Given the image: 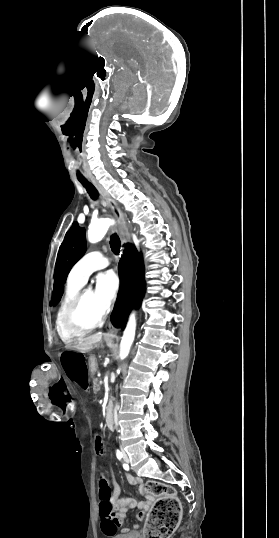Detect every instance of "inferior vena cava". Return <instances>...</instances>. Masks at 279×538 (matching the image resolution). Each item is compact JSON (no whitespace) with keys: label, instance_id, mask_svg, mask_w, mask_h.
I'll return each instance as SVG.
<instances>
[{"label":"inferior vena cava","instance_id":"inferior-vena-cava-1","mask_svg":"<svg viewBox=\"0 0 279 538\" xmlns=\"http://www.w3.org/2000/svg\"><path fill=\"white\" fill-rule=\"evenodd\" d=\"M116 407H118V406H116ZM114 415H115V416H114V417H115V418H114V422L116 423V425H118V423H117V422H118V418H117V411H116V408H115V414H114ZM119 422H120V421H119ZM112 431H113V430H112ZM120 431H121V430H118V432H120ZM119 437H120V436H119ZM119 439H121V438H119ZM121 451H122V455H123L124 457H127V455L124 454V452H123V448H122V447H121Z\"/></svg>","mask_w":279,"mask_h":538}]
</instances>
